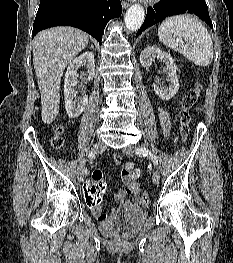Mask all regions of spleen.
Segmentation results:
<instances>
[{
    "instance_id": "obj_1",
    "label": "spleen",
    "mask_w": 233,
    "mask_h": 263,
    "mask_svg": "<svg viewBox=\"0 0 233 263\" xmlns=\"http://www.w3.org/2000/svg\"><path fill=\"white\" fill-rule=\"evenodd\" d=\"M158 37L165 46L181 53L197 66L206 67L213 60L211 36L193 15L183 14L165 19L159 26Z\"/></svg>"
}]
</instances>
